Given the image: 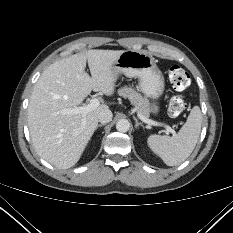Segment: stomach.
<instances>
[{"label": "stomach", "mask_w": 233, "mask_h": 233, "mask_svg": "<svg viewBox=\"0 0 233 233\" xmlns=\"http://www.w3.org/2000/svg\"><path fill=\"white\" fill-rule=\"evenodd\" d=\"M114 72L115 77L122 73L130 78H138L140 91L146 97L154 100L150 112L158 114L159 105L156 100L164 92L165 80L151 55L140 51L126 50L115 61Z\"/></svg>", "instance_id": "0dacf381"}]
</instances>
